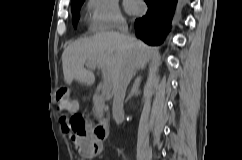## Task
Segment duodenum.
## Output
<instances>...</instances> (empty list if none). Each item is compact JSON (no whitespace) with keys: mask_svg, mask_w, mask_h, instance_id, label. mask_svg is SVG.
Here are the masks:
<instances>
[{"mask_svg":"<svg viewBox=\"0 0 242 160\" xmlns=\"http://www.w3.org/2000/svg\"><path fill=\"white\" fill-rule=\"evenodd\" d=\"M93 101L97 110H103L104 108L103 101L98 92H94ZM109 130H110V127L108 122L105 119H100L91 128V133L95 141L104 142L109 136Z\"/></svg>","mask_w":242,"mask_h":160,"instance_id":"1","label":"duodenum"}]
</instances>
